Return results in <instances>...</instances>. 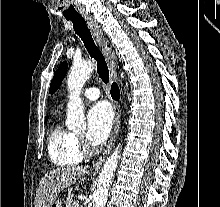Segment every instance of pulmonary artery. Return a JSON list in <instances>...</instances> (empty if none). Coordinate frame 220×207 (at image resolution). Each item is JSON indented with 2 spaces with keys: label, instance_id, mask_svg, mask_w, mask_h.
<instances>
[{
  "label": "pulmonary artery",
  "instance_id": "1",
  "mask_svg": "<svg viewBox=\"0 0 220 207\" xmlns=\"http://www.w3.org/2000/svg\"><path fill=\"white\" fill-rule=\"evenodd\" d=\"M99 96H100V90L96 87H89L83 93V97L86 100H95L99 98Z\"/></svg>",
  "mask_w": 220,
  "mask_h": 207
}]
</instances>
